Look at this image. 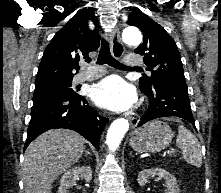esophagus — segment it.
I'll return each instance as SVG.
<instances>
[{"label":"esophagus","mask_w":221,"mask_h":193,"mask_svg":"<svg viewBox=\"0 0 221 193\" xmlns=\"http://www.w3.org/2000/svg\"><path fill=\"white\" fill-rule=\"evenodd\" d=\"M111 53L115 58H120L124 53V46L121 41L120 32L118 27H115L110 36ZM131 126L134 127L138 124L139 120L135 117H128Z\"/></svg>","instance_id":"34e87169"}]
</instances>
